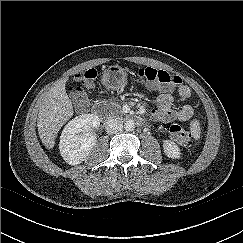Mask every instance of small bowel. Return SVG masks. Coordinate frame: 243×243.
<instances>
[{"label":"small bowel","instance_id":"obj_1","mask_svg":"<svg viewBox=\"0 0 243 243\" xmlns=\"http://www.w3.org/2000/svg\"><path fill=\"white\" fill-rule=\"evenodd\" d=\"M191 95L188 86L181 85L178 88V96L181 100H187ZM173 96L168 92H162L155 101L153 112L155 117L162 122L188 121L193 116V108L190 105H184L181 108L172 107Z\"/></svg>","mask_w":243,"mask_h":243}]
</instances>
